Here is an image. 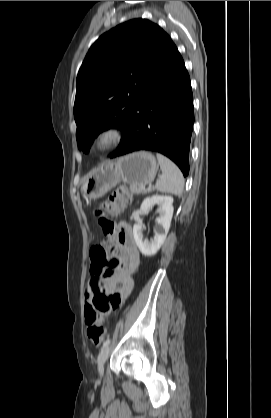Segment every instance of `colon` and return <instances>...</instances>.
Masks as SVG:
<instances>
[{
  "label": "colon",
  "instance_id": "5ec220e1",
  "mask_svg": "<svg viewBox=\"0 0 271 418\" xmlns=\"http://www.w3.org/2000/svg\"><path fill=\"white\" fill-rule=\"evenodd\" d=\"M131 201V195L125 187H119L115 190L106 201L96 210L98 217V225L104 235L111 237L115 232V226L110 219L111 216L120 213ZM107 248L105 246H95L91 249V274L96 285V293L94 298V306L85 312L87 335L94 344H100L105 337L106 327L103 314L110 304L108 297L100 290V284L97 277L103 275L110 276L115 268L119 265L117 258L107 260ZM118 300H114L117 303Z\"/></svg>",
  "mask_w": 271,
  "mask_h": 418
}]
</instances>
